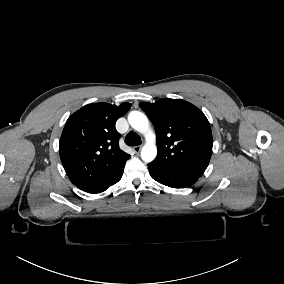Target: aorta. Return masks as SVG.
Returning <instances> with one entry per match:
<instances>
[{"mask_svg":"<svg viewBox=\"0 0 284 284\" xmlns=\"http://www.w3.org/2000/svg\"><path fill=\"white\" fill-rule=\"evenodd\" d=\"M128 122L133 129L144 134L146 143L141 149V158L145 162H152L157 155L155 134L150 128L147 116L139 111H132L128 115Z\"/></svg>","mask_w":284,"mask_h":284,"instance_id":"762f6f07","label":"aorta"}]
</instances>
